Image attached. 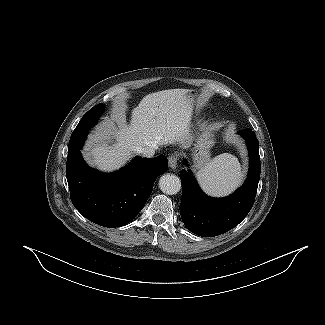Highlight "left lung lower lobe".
I'll return each mask as SVG.
<instances>
[{
  "instance_id": "left-lung-lower-lobe-1",
  "label": "left lung lower lobe",
  "mask_w": 325,
  "mask_h": 325,
  "mask_svg": "<svg viewBox=\"0 0 325 325\" xmlns=\"http://www.w3.org/2000/svg\"><path fill=\"white\" fill-rule=\"evenodd\" d=\"M238 133L246 140L250 166L244 185L230 196L208 197L201 191L190 170L180 171L181 218L184 225L199 236L213 237L229 231L246 217L253 206L261 169L258 140L250 129Z\"/></svg>"
}]
</instances>
